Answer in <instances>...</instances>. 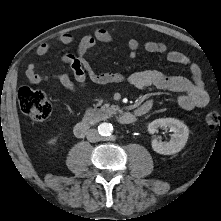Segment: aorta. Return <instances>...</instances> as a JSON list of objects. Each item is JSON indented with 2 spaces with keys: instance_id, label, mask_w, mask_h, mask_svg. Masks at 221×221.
Masks as SVG:
<instances>
[{
  "instance_id": "aorta-1",
  "label": "aorta",
  "mask_w": 221,
  "mask_h": 221,
  "mask_svg": "<svg viewBox=\"0 0 221 221\" xmlns=\"http://www.w3.org/2000/svg\"><path fill=\"white\" fill-rule=\"evenodd\" d=\"M98 130L102 136H108L111 134L113 127L109 123H102L101 125H99Z\"/></svg>"
}]
</instances>
